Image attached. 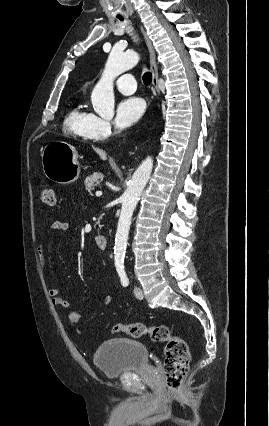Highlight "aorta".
I'll return each instance as SVG.
<instances>
[{
    "label": "aorta",
    "mask_w": 269,
    "mask_h": 426,
    "mask_svg": "<svg viewBox=\"0 0 269 426\" xmlns=\"http://www.w3.org/2000/svg\"><path fill=\"white\" fill-rule=\"evenodd\" d=\"M139 62V55L134 51L121 52L113 49L107 60L101 79L95 85L91 101L94 111L102 118L114 116L113 81L123 72L131 69ZM153 169V159L147 157L134 172L130 183L122 196V208L115 236V264L124 262L131 218L140 196L150 178Z\"/></svg>",
    "instance_id": "aorta-1"
}]
</instances>
